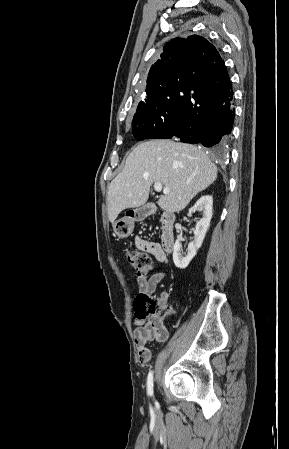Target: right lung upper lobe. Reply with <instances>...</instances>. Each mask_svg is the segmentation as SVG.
I'll list each match as a JSON object with an SVG mask.
<instances>
[{"instance_id": "cb5924a9", "label": "right lung upper lobe", "mask_w": 289, "mask_h": 449, "mask_svg": "<svg viewBox=\"0 0 289 449\" xmlns=\"http://www.w3.org/2000/svg\"><path fill=\"white\" fill-rule=\"evenodd\" d=\"M225 66L217 49L204 37H177L168 42L152 65L146 93L177 90L180 82L207 81Z\"/></svg>"}]
</instances>
